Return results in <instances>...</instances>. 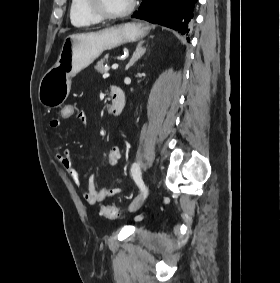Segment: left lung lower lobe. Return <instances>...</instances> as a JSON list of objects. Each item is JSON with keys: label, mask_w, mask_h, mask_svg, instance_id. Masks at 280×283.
Here are the masks:
<instances>
[{"label": "left lung lower lobe", "mask_w": 280, "mask_h": 283, "mask_svg": "<svg viewBox=\"0 0 280 283\" xmlns=\"http://www.w3.org/2000/svg\"><path fill=\"white\" fill-rule=\"evenodd\" d=\"M196 2L197 0H142L138 11L131 17L188 34V24L193 18ZM187 40L190 41L189 38Z\"/></svg>", "instance_id": "obj_1"}]
</instances>
